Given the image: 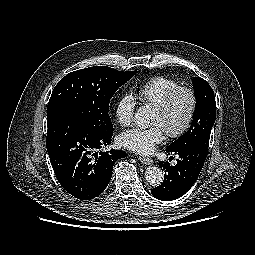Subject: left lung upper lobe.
Masks as SVG:
<instances>
[{
	"instance_id": "obj_1",
	"label": "left lung upper lobe",
	"mask_w": 255,
	"mask_h": 255,
	"mask_svg": "<svg viewBox=\"0 0 255 255\" xmlns=\"http://www.w3.org/2000/svg\"><path fill=\"white\" fill-rule=\"evenodd\" d=\"M192 81L196 97L193 121L189 130L168 146L169 151L193 145L208 148L209 145L211 129L216 119L214 92L206 80L194 77Z\"/></svg>"
}]
</instances>
